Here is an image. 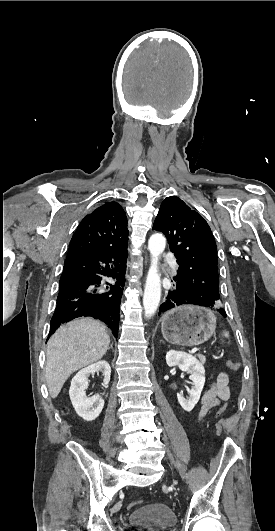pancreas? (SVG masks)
Segmentation results:
<instances>
[{
  "mask_svg": "<svg viewBox=\"0 0 275 531\" xmlns=\"http://www.w3.org/2000/svg\"><path fill=\"white\" fill-rule=\"evenodd\" d=\"M201 365H204V363H206V357H204V355H197Z\"/></svg>",
  "mask_w": 275,
  "mask_h": 531,
  "instance_id": "obj_1",
  "label": "pancreas"
}]
</instances>
